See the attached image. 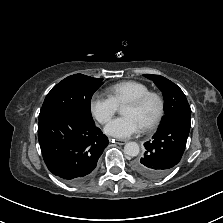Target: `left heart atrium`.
<instances>
[{
    "instance_id": "left-heart-atrium-1",
    "label": "left heart atrium",
    "mask_w": 223,
    "mask_h": 223,
    "mask_svg": "<svg viewBox=\"0 0 223 223\" xmlns=\"http://www.w3.org/2000/svg\"><path fill=\"white\" fill-rule=\"evenodd\" d=\"M141 126L132 116H123L109 122L105 127V132L116 138H128L139 132Z\"/></svg>"
}]
</instances>
